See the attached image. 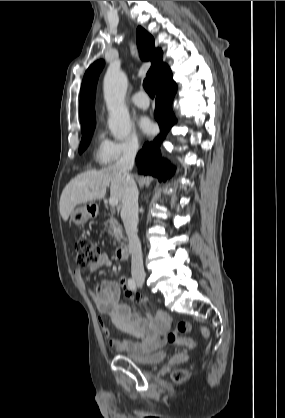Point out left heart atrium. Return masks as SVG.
<instances>
[{
	"mask_svg": "<svg viewBox=\"0 0 285 418\" xmlns=\"http://www.w3.org/2000/svg\"><path fill=\"white\" fill-rule=\"evenodd\" d=\"M138 124L142 132H144L145 134H150L154 129L152 121L145 116L140 117Z\"/></svg>",
	"mask_w": 285,
	"mask_h": 418,
	"instance_id": "1",
	"label": "left heart atrium"
}]
</instances>
